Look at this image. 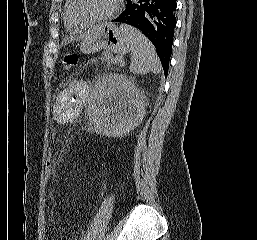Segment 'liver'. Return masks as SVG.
<instances>
[{
    "mask_svg": "<svg viewBox=\"0 0 257 240\" xmlns=\"http://www.w3.org/2000/svg\"><path fill=\"white\" fill-rule=\"evenodd\" d=\"M97 27V26H96ZM95 28V27H94ZM89 33V32H88ZM86 35H87V33L86 34H83V35H81L80 37H79V39H83V38H85L86 37ZM73 39H71L70 41H72Z\"/></svg>",
    "mask_w": 257,
    "mask_h": 240,
    "instance_id": "1",
    "label": "liver"
}]
</instances>
